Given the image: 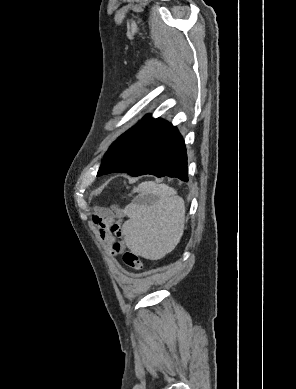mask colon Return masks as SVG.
<instances>
[{
  "label": "colon",
  "mask_w": 296,
  "mask_h": 389,
  "mask_svg": "<svg viewBox=\"0 0 296 389\" xmlns=\"http://www.w3.org/2000/svg\"><path fill=\"white\" fill-rule=\"evenodd\" d=\"M123 261H124L125 265L131 269H134L137 271H141L143 269V263H142L140 257L134 252L126 251L123 254Z\"/></svg>",
  "instance_id": "5ec220e1"
}]
</instances>
